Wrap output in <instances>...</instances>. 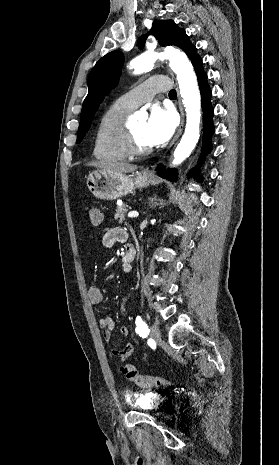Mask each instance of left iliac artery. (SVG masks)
I'll use <instances>...</instances> for the list:
<instances>
[{"label":"left iliac artery","mask_w":279,"mask_h":465,"mask_svg":"<svg viewBox=\"0 0 279 465\" xmlns=\"http://www.w3.org/2000/svg\"><path fill=\"white\" fill-rule=\"evenodd\" d=\"M135 323H136V332L142 338L147 337L150 330L148 329L146 322H144L141 317L137 316Z\"/></svg>","instance_id":"1"}]
</instances>
